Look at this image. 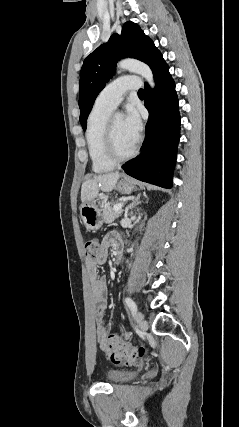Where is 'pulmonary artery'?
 Masks as SVG:
<instances>
[{
	"label": "pulmonary artery",
	"mask_w": 239,
	"mask_h": 427,
	"mask_svg": "<svg viewBox=\"0 0 239 427\" xmlns=\"http://www.w3.org/2000/svg\"><path fill=\"white\" fill-rule=\"evenodd\" d=\"M140 79L137 76H121L108 84L98 95L95 106L113 110L128 91L139 90Z\"/></svg>",
	"instance_id": "e3ab8cb5"
}]
</instances>
